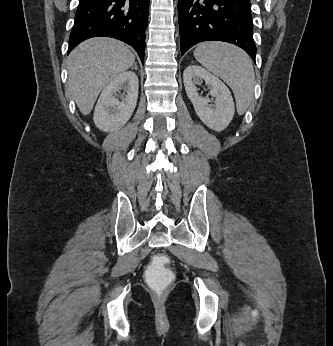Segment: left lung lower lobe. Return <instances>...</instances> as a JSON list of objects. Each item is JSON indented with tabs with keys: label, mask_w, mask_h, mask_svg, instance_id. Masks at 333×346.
<instances>
[{
	"label": "left lung lower lobe",
	"mask_w": 333,
	"mask_h": 346,
	"mask_svg": "<svg viewBox=\"0 0 333 346\" xmlns=\"http://www.w3.org/2000/svg\"><path fill=\"white\" fill-rule=\"evenodd\" d=\"M181 54L202 41H224L255 62L250 0H178Z\"/></svg>",
	"instance_id": "left-lung-lower-lobe-1"
}]
</instances>
